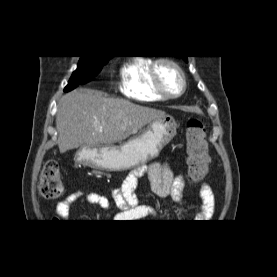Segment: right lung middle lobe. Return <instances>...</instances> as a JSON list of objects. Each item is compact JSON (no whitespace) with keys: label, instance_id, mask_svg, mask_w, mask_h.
<instances>
[{"label":"right lung middle lobe","instance_id":"1","mask_svg":"<svg viewBox=\"0 0 277 277\" xmlns=\"http://www.w3.org/2000/svg\"><path fill=\"white\" fill-rule=\"evenodd\" d=\"M111 57L81 56L77 69L73 72L64 91L73 90L78 84L92 80Z\"/></svg>","mask_w":277,"mask_h":277}]
</instances>
